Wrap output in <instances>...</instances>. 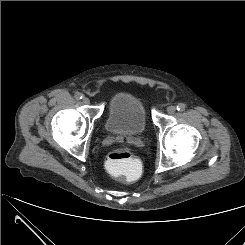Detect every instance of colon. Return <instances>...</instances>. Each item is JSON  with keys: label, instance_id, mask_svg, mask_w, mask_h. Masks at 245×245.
Masks as SVG:
<instances>
[{"label": "colon", "instance_id": "colon-1", "mask_svg": "<svg viewBox=\"0 0 245 245\" xmlns=\"http://www.w3.org/2000/svg\"><path fill=\"white\" fill-rule=\"evenodd\" d=\"M105 164L110 171L126 174L129 182L136 181L140 172L138 159L126 148H115L109 152Z\"/></svg>", "mask_w": 245, "mask_h": 245}]
</instances>
